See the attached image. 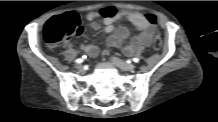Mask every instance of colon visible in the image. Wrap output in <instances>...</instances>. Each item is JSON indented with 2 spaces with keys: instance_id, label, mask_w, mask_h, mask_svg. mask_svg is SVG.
Instances as JSON below:
<instances>
[{
  "instance_id": "obj_1",
  "label": "colon",
  "mask_w": 218,
  "mask_h": 122,
  "mask_svg": "<svg viewBox=\"0 0 218 122\" xmlns=\"http://www.w3.org/2000/svg\"><path fill=\"white\" fill-rule=\"evenodd\" d=\"M146 18L152 25H156L157 18L154 15L149 14ZM82 31V21L79 14L76 12H67L53 17L46 23L43 37L47 44L56 46L67 38L80 35ZM153 47L155 50L161 48V40L158 35H155L153 38Z\"/></svg>"
}]
</instances>
